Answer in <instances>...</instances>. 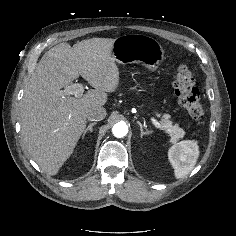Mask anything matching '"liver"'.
<instances>
[{"instance_id":"obj_1","label":"liver","mask_w":236,"mask_h":236,"mask_svg":"<svg viewBox=\"0 0 236 236\" xmlns=\"http://www.w3.org/2000/svg\"><path fill=\"white\" fill-rule=\"evenodd\" d=\"M115 39L91 38L47 51L26 86L20 109L23 141L32 159L56 175L73 153L86 127V114L107 102L120 81L112 56ZM81 75L94 89L82 97H62L64 87Z\"/></svg>"}]
</instances>
